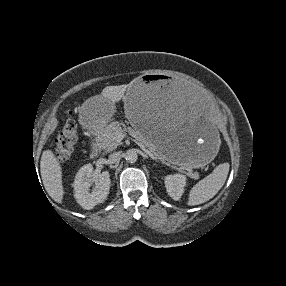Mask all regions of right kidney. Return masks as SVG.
<instances>
[{
  "instance_id": "1",
  "label": "right kidney",
  "mask_w": 286,
  "mask_h": 286,
  "mask_svg": "<svg viewBox=\"0 0 286 286\" xmlns=\"http://www.w3.org/2000/svg\"><path fill=\"white\" fill-rule=\"evenodd\" d=\"M92 180L93 165L89 163L79 169L73 183L76 201L87 210L106 200L111 185L108 171L102 172L95 178L97 189L90 192Z\"/></svg>"
}]
</instances>
